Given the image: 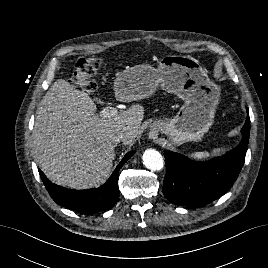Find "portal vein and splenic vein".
Masks as SVG:
<instances>
[{"instance_id":"obj_1","label":"portal vein and splenic vein","mask_w":268,"mask_h":268,"mask_svg":"<svg viewBox=\"0 0 268 268\" xmlns=\"http://www.w3.org/2000/svg\"><path fill=\"white\" fill-rule=\"evenodd\" d=\"M118 114V109L115 107H105L101 110L100 115L104 118L114 117Z\"/></svg>"}]
</instances>
